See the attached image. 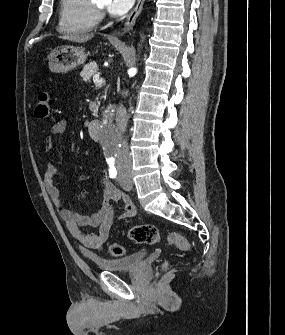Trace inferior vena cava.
Wrapping results in <instances>:
<instances>
[{
	"label": "inferior vena cava",
	"instance_id": "obj_1",
	"mask_svg": "<svg viewBox=\"0 0 285 335\" xmlns=\"http://www.w3.org/2000/svg\"><path fill=\"white\" fill-rule=\"evenodd\" d=\"M128 118L129 116H127L126 108H124V106H119L118 112L116 114V124H117V130L120 136H122V134L126 132ZM120 144L122 148H118L117 150L118 162H129V164H131V156H130L127 140H123V142H120Z\"/></svg>",
	"mask_w": 285,
	"mask_h": 335
}]
</instances>
